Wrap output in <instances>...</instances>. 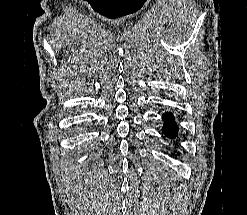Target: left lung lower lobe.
I'll return each mask as SVG.
<instances>
[{
    "mask_svg": "<svg viewBox=\"0 0 247 215\" xmlns=\"http://www.w3.org/2000/svg\"><path fill=\"white\" fill-rule=\"evenodd\" d=\"M163 119L165 120L163 133L169 138L175 137L178 133V127L174 122L173 114L165 113L163 114Z\"/></svg>",
    "mask_w": 247,
    "mask_h": 215,
    "instance_id": "obj_1",
    "label": "left lung lower lobe"
}]
</instances>
